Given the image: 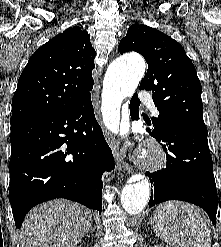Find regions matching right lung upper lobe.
Instances as JSON below:
<instances>
[{"mask_svg":"<svg viewBox=\"0 0 221 247\" xmlns=\"http://www.w3.org/2000/svg\"><path fill=\"white\" fill-rule=\"evenodd\" d=\"M95 50L80 27L58 34L29 59L12 100L11 122L66 112L87 101Z\"/></svg>","mask_w":221,"mask_h":247,"instance_id":"obj_1","label":"right lung upper lobe"}]
</instances>
